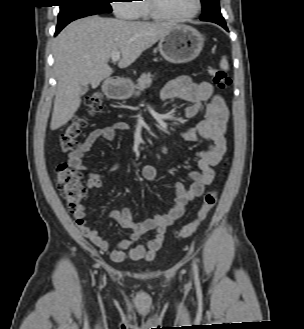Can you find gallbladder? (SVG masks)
I'll return each instance as SVG.
<instances>
[{
	"mask_svg": "<svg viewBox=\"0 0 304 329\" xmlns=\"http://www.w3.org/2000/svg\"><path fill=\"white\" fill-rule=\"evenodd\" d=\"M88 91V86L87 85H81L80 87V95H84Z\"/></svg>",
	"mask_w": 304,
	"mask_h": 329,
	"instance_id": "bac80fb5",
	"label": "gallbladder"
}]
</instances>
